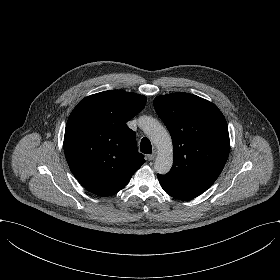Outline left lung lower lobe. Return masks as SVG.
I'll use <instances>...</instances> for the list:
<instances>
[{"mask_svg": "<svg viewBox=\"0 0 280 280\" xmlns=\"http://www.w3.org/2000/svg\"><path fill=\"white\" fill-rule=\"evenodd\" d=\"M162 188L165 190V192H167L166 189H165L164 187H162Z\"/></svg>", "mask_w": 280, "mask_h": 280, "instance_id": "1", "label": "left lung lower lobe"}]
</instances>
